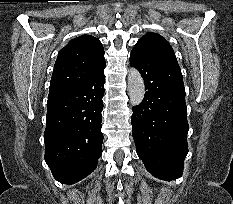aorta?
<instances>
[{"label":"aorta","mask_w":233,"mask_h":204,"mask_svg":"<svg viewBox=\"0 0 233 204\" xmlns=\"http://www.w3.org/2000/svg\"><path fill=\"white\" fill-rule=\"evenodd\" d=\"M130 103L133 106L139 105L145 95V86L141 74L135 68H131L127 76Z\"/></svg>","instance_id":"obj_1"}]
</instances>
